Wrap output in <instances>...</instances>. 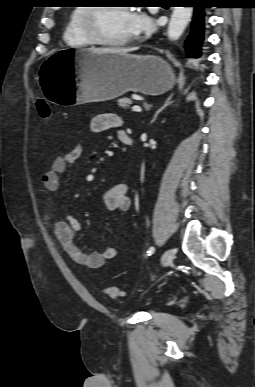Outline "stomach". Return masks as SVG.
Returning a JSON list of instances; mask_svg holds the SVG:
<instances>
[{
    "label": "stomach",
    "instance_id": "obj_1",
    "mask_svg": "<svg viewBox=\"0 0 255 387\" xmlns=\"http://www.w3.org/2000/svg\"><path fill=\"white\" fill-rule=\"evenodd\" d=\"M43 95L59 108H84L127 91L160 95L175 84L166 61L154 55L96 53L83 46H64L50 55L36 76Z\"/></svg>",
    "mask_w": 255,
    "mask_h": 387
}]
</instances>
